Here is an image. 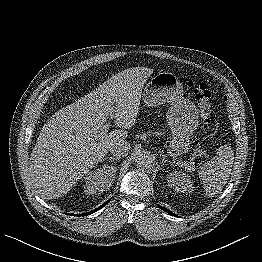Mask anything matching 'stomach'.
Segmentation results:
<instances>
[{
	"instance_id": "0dacf381",
	"label": "stomach",
	"mask_w": 262,
	"mask_h": 262,
	"mask_svg": "<svg viewBox=\"0 0 262 262\" xmlns=\"http://www.w3.org/2000/svg\"><path fill=\"white\" fill-rule=\"evenodd\" d=\"M142 98L148 107L171 104L166 115L172 133L170 149L177 153L186 152L199 125V115L196 105L183 97L179 78L170 72L156 74L145 86Z\"/></svg>"
}]
</instances>
